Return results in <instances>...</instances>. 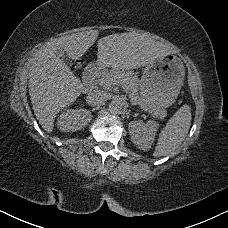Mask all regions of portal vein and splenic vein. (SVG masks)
Here are the masks:
<instances>
[{
  "label": "portal vein and splenic vein",
  "mask_w": 228,
  "mask_h": 228,
  "mask_svg": "<svg viewBox=\"0 0 228 228\" xmlns=\"http://www.w3.org/2000/svg\"><path fill=\"white\" fill-rule=\"evenodd\" d=\"M106 81H109V80H106ZM101 86L104 84L103 80L100 79V83H99ZM117 84V81L116 80H113L112 81V86L116 85ZM111 86H108V89H110Z\"/></svg>",
  "instance_id": "portal-vein-and-splenic-vein-1"
}]
</instances>
